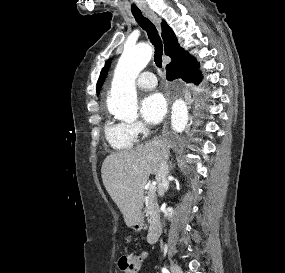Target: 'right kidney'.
<instances>
[{
  "instance_id": "1",
  "label": "right kidney",
  "mask_w": 285,
  "mask_h": 273,
  "mask_svg": "<svg viewBox=\"0 0 285 273\" xmlns=\"http://www.w3.org/2000/svg\"><path fill=\"white\" fill-rule=\"evenodd\" d=\"M167 211H168V213H169V216L172 217V215H173V209H172V208H168Z\"/></svg>"
}]
</instances>
